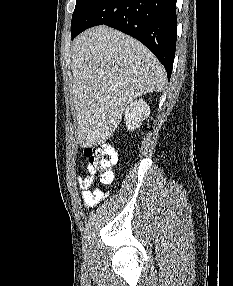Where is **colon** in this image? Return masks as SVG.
I'll return each instance as SVG.
<instances>
[{
	"label": "colon",
	"mask_w": 233,
	"mask_h": 286,
	"mask_svg": "<svg viewBox=\"0 0 233 286\" xmlns=\"http://www.w3.org/2000/svg\"><path fill=\"white\" fill-rule=\"evenodd\" d=\"M84 156L91 173H98L102 183L107 184L112 181V166L116 161V152L112 147L108 145L87 147Z\"/></svg>",
	"instance_id": "1"
}]
</instances>
